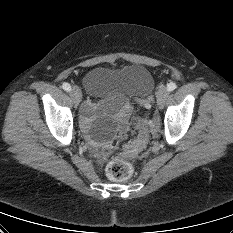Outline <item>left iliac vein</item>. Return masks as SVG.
<instances>
[{
    "label": "left iliac vein",
    "mask_w": 233,
    "mask_h": 233,
    "mask_svg": "<svg viewBox=\"0 0 233 233\" xmlns=\"http://www.w3.org/2000/svg\"><path fill=\"white\" fill-rule=\"evenodd\" d=\"M168 94H169L168 89L165 86H161L158 89L157 94H156V100H157V105L159 109L163 108L166 98L168 97Z\"/></svg>",
    "instance_id": "1"
}]
</instances>
